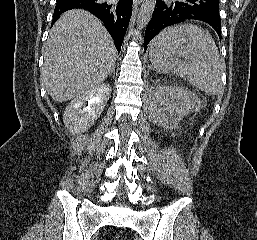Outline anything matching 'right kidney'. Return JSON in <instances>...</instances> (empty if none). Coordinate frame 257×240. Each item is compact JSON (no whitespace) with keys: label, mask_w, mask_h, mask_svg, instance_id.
<instances>
[{"label":"right kidney","mask_w":257,"mask_h":240,"mask_svg":"<svg viewBox=\"0 0 257 240\" xmlns=\"http://www.w3.org/2000/svg\"><path fill=\"white\" fill-rule=\"evenodd\" d=\"M111 91L109 84H102L78 95L65 109V127L73 134L88 130L100 117Z\"/></svg>","instance_id":"1"}]
</instances>
